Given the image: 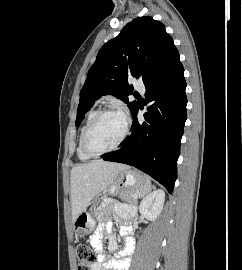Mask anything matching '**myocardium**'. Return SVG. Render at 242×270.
<instances>
[{
    "mask_svg": "<svg viewBox=\"0 0 242 270\" xmlns=\"http://www.w3.org/2000/svg\"><path fill=\"white\" fill-rule=\"evenodd\" d=\"M108 114H121L124 117V119H125L124 132H123L121 138L119 139V141L115 145H113L112 147L105 149V150H101V151H94L88 145L89 135H90L92 129L94 128V126L96 125V123L103 116L108 115ZM129 131H130V126H129L128 119L123 114L122 111H120L118 109H114V108L102 109L95 114V116L91 119V121L86 126L84 133H83V136H82V140H81V148H82L83 152L90 157L101 156V155L113 152V151L117 150L125 142V140L127 139L128 135H129Z\"/></svg>",
    "mask_w": 242,
    "mask_h": 270,
    "instance_id": "f54148a6",
    "label": "myocardium"
}]
</instances>
